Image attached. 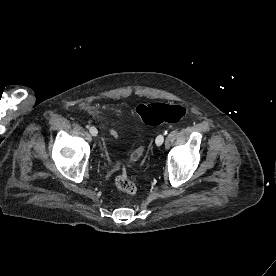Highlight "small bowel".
<instances>
[{
    "label": "small bowel",
    "mask_w": 276,
    "mask_h": 276,
    "mask_svg": "<svg viewBox=\"0 0 276 276\" xmlns=\"http://www.w3.org/2000/svg\"><path fill=\"white\" fill-rule=\"evenodd\" d=\"M89 112H90L92 115L97 116V117L103 116L102 112L99 111L98 109L94 108V107H90V108H89ZM116 115H117V117H120V115H121L120 109H116ZM108 122H109V124H110L111 127H112V128L109 130V133H110L111 136H113V137L116 138V137L118 136V133H117V131H116V129H115L116 122L113 121V120H108Z\"/></svg>",
    "instance_id": "small-bowel-1"
}]
</instances>
